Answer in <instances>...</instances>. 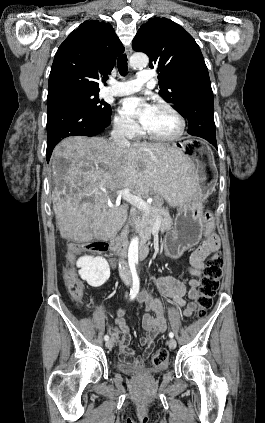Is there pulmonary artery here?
<instances>
[{"instance_id": "1", "label": "pulmonary artery", "mask_w": 265, "mask_h": 423, "mask_svg": "<svg viewBox=\"0 0 265 423\" xmlns=\"http://www.w3.org/2000/svg\"><path fill=\"white\" fill-rule=\"evenodd\" d=\"M151 82V72L148 70H140L135 79L111 81L110 85L103 90V94L112 96L129 95L140 90L144 84Z\"/></svg>"}]
</instances>
